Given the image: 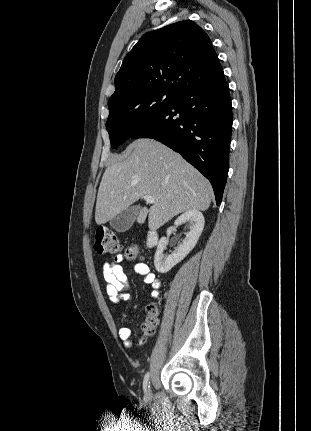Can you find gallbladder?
Returning a JSON list of instances; mask_svg holds the SVG:
<instances>
[{
  "label": "gallbladder",
  "instance_id": "obj_1",
  "mask_svg": "<svg viewBox=\"0 0 311 431\" xmlns=\"http://www.w3.org/2000/svg\"><path fill=\"white\" fill-rule=\"evenodd\" d=\"M141 210V206H132V208H127L124 212H120L118 216L110 219L109 223L113 229L116 231H127L133 225L136 217Z\"/></svg>",
  "mask_w": 311,
  "mask_h": 431
}]
</instances>
